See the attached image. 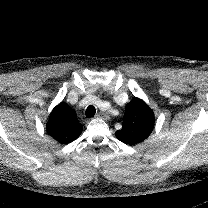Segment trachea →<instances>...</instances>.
Masks as SVG:
<instances>
[{"label":"trachea","instance_id":"obj_1","mask_svg":"<svg viewBox=\"0 0 208 208\" xmlns=\"http://www.w3.org/2000/svg\"><path fill=\"white\" fill-rule=\"evenodd\" d=\"M85 113H86V117H88V118L94 117V115L96 113V109L94 106L90 105L87 107Z\"/></svg>","mask_w":208,"mask_h":208}]
</instances>
